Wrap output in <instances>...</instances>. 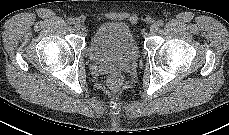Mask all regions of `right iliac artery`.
Here are the masks:
<instances>
[{"label":"right iliac artery","mask_w":229,"mask_h":135,"mask_svg":"<svg viewBox=\"0 0 229 135\" xmlns=\"http://www.w3.org/2000/svg\"><path fill=\"white\" fill-rule=\"evenodd\" d=\"M68 23H69V24H74V23H75L74 18H69V19H68Z\"/></svg>","instance_id":"obj_1"}]
</instances>
